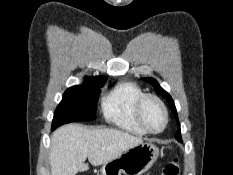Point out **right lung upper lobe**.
<instances>
[{
    "instance_id": "right-lung-upper-lobe-1",
    "label": "right lung upper lobe",
    "mask_w": 233,
    "mask_h": 175,
    "mask_svg": "<svg viewBox=\"0 0 233 175\" xmlns=\"http://www.w3.org/2000/svg\"><path fill=\"white\" fill-rule=\"evenodd\" d=\"M103 80H106L105 77H102V76H97V77H86L85 78V82L86 81H103Z\"/></svg>"
}]
</instances>
